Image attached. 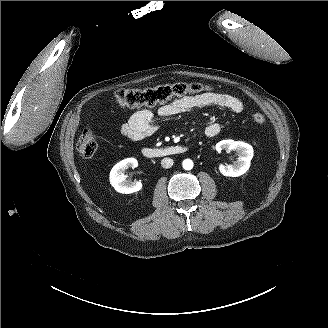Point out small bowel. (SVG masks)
I'll return each mask as SVG.
<instances>
[{"label": "small bowel", "mask_w": 328, "mask_h": 328, "mask_svg": "<svg viewBox=\"0 0 328 328\" xmlns=\"http://www.w3.org/2000/svg\"><path fill=\"white\" fill-rule=\"evenodd\" d=\"M209 107L224 108L234 113H241L244 110L243 102L236 96L220 92H205L174 99L160 106L156 112L149 109L138 110L120 124L119 132L130 140L140 141L158 130L157 117H171ZM220 132L221 125L216 122L208 124L205 128L206 136L211 138L218 136Z\"/></svg>", "instance_id": "1"}]
</instances>
